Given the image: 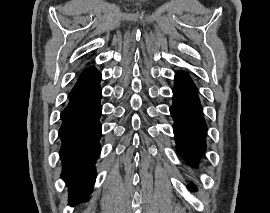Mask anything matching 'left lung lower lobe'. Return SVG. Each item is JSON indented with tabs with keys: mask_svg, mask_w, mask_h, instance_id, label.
<instances>
[{
	"mask_svg": "<svg viewBox=\"0 0 270 213\" xmlns=\"http://www.w3.org/2000/svg\"><path fill=\"white\" fill-rule=\"evenodd\" d=\"M170 113L175 122L174 135L178 153L188 163L195 164L206 148L207 127L196 87L183 72L175 75Z\"/></svg>",
	"mask_w": 270,
	"mask_h": 213,
	"instance_id": "obj_1",
	"label": "left lung lower lobe"
}]
</instances>
